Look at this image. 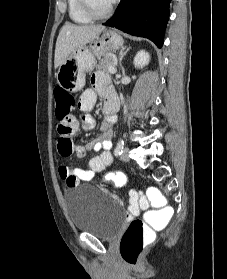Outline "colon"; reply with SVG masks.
<instances>
[{
    "instance_id": "colon-1",
    "label": "colon",
    "mask_w": 227,
    "mask_h": 279,
    "mask_svg": "<svg viewBox=\"0 0 227 279\" xmlns=\"http://www.w3.org/2000/svg\"><path fill=\"white\" fill-rule=\"evenodd\" d=\"M75 108L74 96L62 89L57 90V104L55 113L60 122V130L64 134L72 132L73 110ZM107 183L122 187L127 181V175L123 171H115L105 176ZM74 185V181H71ZM147 194L153 204L164 205L166 196L155 188H148ZM174 216L172 207H161L147 211L143 219L137 218L130 222L121 243V255L129 265H136L139 261L144 242L153 235V225H159L169 221Z\"/></svg>"
}]
</instances>
